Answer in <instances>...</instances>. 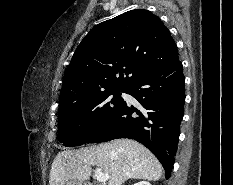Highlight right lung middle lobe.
Returning <instances> with one entry per match:
<instances>
[{"instance_id":"obj_1","label":"right lung middle lobe","mask_w":233,"mask_h":185,"mask_svg":"<svg viewBox=\"0 0 233 185\" xmlns=\"http://www.w3.org/2000/svg\"><path fill=\"white\" fill-rule=\"evenodd\" d=\"M127 92V89H121ZM120 89H109L77 100L59 109V141L79 146L100 129L123 105Z\"/></svg>"}]
</instances>
